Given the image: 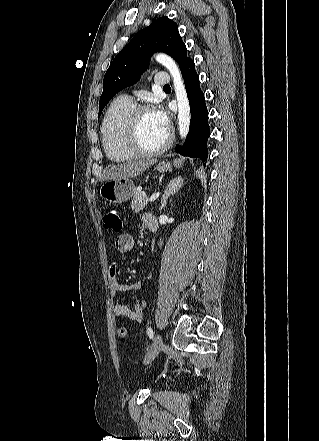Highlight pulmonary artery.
<instances>
[{
  "mask_svg": "<svg viewBox=\"0 0 319 441\" xmlns=\"http://www.w3.org/2000/svg\"><path fill=\"white\" fill-rule=\"evenodd\" d=\"M169 80H170L169 75L166 72H160L155 75L154 84L159 87H164L165 85H168ZM126 97L134 101L132 97L130 96H126Z\"/></svg>",
  "mask_w": 319,
  "mask_h": 441,
  "instance_id": "1",
  "label": "pulmonary artery"
}]
</instances>
